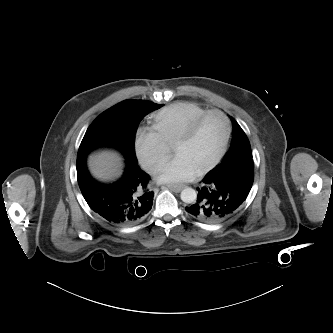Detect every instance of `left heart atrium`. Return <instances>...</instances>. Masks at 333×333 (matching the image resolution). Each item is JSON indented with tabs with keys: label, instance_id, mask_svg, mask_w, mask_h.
Instances as JSON below:
<instances>
[{
	"label": "left heart atrium",
	"instance_id": "left-heart-atrium-1",
	"mask_svg": "<svg viewBox=\"0 0 333 333\" xmlns=\"http://www.w3.org/2000/svg\"><path fill=\"white\" fill-rule=\"evenodd\" d=\"M196 174L197 170L181 154H175L160 166L157 178L161 182L176 184L192 180Z\"/></svg>",
	"mask_w": 333,
	"mask_h": 333
}]
</instances>
